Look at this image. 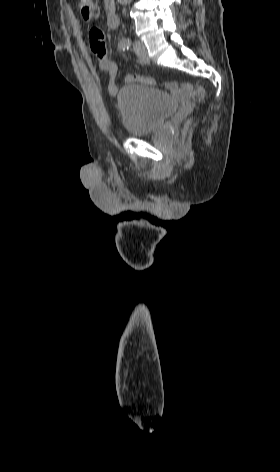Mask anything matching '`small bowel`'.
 Here are the masks:
<instances>
[{
	"label": "small bowel",
	"instance_id": "obj_1",
	"mask_svg": "<svg viewBox=\"0 0 280 472\" xmlns=\"http://www.w3.org/2000/svg\"><path fill=\"white\" fill-rule=\"evenodd\" d=\"M90 49L94 54L97 62V67L100 71L106 73L109 77L107 89L111 97H114L117 92L116 79L118 75V66L115 62L107 57L105 49V34L102 29L93 27L89 30ZM131 74L125 77V82H131Z\"/></svg>",
	"mask_w": 280,
	"mask_h": 472
}]
</instances>
